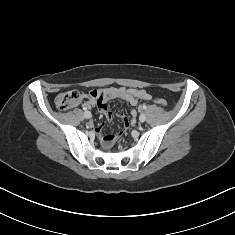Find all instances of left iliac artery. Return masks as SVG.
I'll use <instances>...</instances> for the list:
<instances>
[{
	"instance_id": "left-iliac-artery-1",
	"label": "left iliac artery",
	"mask_w": 235,
	"mask_h": 235,
	"mask_svg": "<svg viewBox=\"0 0 235 235\" xmlns=\"http://www.w3.org/2000/svg\"><path fill=\"white\" fill-rule=\"evenodd\" d=\"M143 109H146L147 107H146V105H143V107H142Z\"/></svg>"
}]
</instances>
